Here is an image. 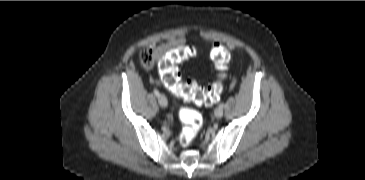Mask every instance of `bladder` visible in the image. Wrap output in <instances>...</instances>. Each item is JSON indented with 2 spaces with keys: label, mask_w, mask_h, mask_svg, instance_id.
Returning a JSON list of instances; mask_svg holds the SVG:
<instances>
[{
  "label": "bladder",
  "mask_w": 365,
  "mask_h": 180,
  "mask_svg": "<svg viewBox=\"0 0 365 180\" xmlns=\"http://www.w3.org/2000/svg\"><path fill=\"white\" fill-rule=\"evenodd\" d=\"M175 101L178 109H181L185 106L184 97L182 95L178 94V96L175 98Z\"/></svg>",
  "instance_id": "1"
}]
</instances>
